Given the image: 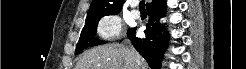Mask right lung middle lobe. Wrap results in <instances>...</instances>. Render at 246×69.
<instances>
[{
    "label": "right lung middle lobe",
    "mask_w": 246,
    "mask_h": 69,
    "mask_svg": "<svg viewBox=\"0 0 246 69\" xmlns=\"http://www.w3.org/2000/svg\"><path fill=\"white\" fill-rule=\"evenodd\" d=\"M99 20L100 19L85 22V26L81 32L80 39L76 46L75 54H79L80 52H82L84 49L88 47H92L104 43L99 39L95 38Z\"/></svg>",
    "instance_id": "dd1d6c3e"
}]
</instances>
